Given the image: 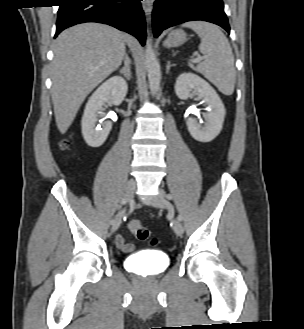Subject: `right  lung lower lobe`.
I'll return each mask as SVG.
<instances>
[{"label": "right lung lower lobe", "instance_id": "1", "mask_svg": "<svg viewBox=\"0 0 304 329\" xmlns=\"http://www.w3.org/2000/svg\"><path fill=\"white\" fill-rule=\"evenodd\" d=\"M140 1L142 0H61L55 36L76 24L98 22L130 33L144 45L146 25Z\"/></svg>", "mask_w": 304, "mask_h": 329}]
</instances>
